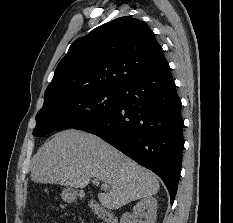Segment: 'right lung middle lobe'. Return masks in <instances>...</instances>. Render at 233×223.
Listing matches in <instances>:
<instances>
[{
	"instance_id": "obj_1",
	"label": "right lung middle lobe",
	"mask_w": 233,
	"mask_h": 223,
	"mask_svg": "<svg viewBox=\"0 0 233 223\" xmlns=\"http://www.w3.org/2000/svg\"><path fill=\"white\" fill-rule=\"evenodd\" d=\"M120 89L99 87L66 95L43 105L36 115L35 136L80 126L116 109Z\"/></svg>"
}]
</instances>
